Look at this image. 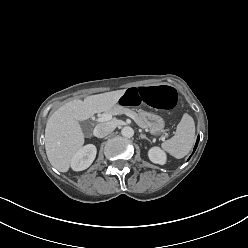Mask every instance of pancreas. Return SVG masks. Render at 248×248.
I'll use <instances>...</instances> for the list:
<instances>
[{"mask_svg":"<svg viewBox=\"0 0 248 248\" xmlns=\"http://www.w3.org/2000/svg\"><path fill=\"white\" fill-rule=\"evenodd\" d=\"M108 114H111V115H121V114H125L127 116H130V117H133L134 120L136 121V123L141 127V128H144V129H147V124L146 122L143 120L142 116L131 110V109H128V108H125V107H122V106H119V105H115L113 106L111 109H109L107 111Z\"/></svg>","mask_w":248,"mask_h":248,"instance_id":"cf45deb5","label":"pancreas"}]
</instances>
